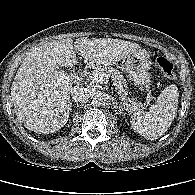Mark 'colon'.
Masks as SVG:
<instances>
[{"label":"colon","instance_id":"1","mask_svg":"<svg viewBox=\"0 0 195 195\" xmlns=\"http://www.w3.org/2000/svg\"><path fill=\"white\" fill-rule=\"evenodd\" d=\"M155 67L165 76L166 79L173 80L175 78V65L170 58L159 56L155 60Z\"/></svg>","mask_w":195,"mask_h":195}]
</instances>
